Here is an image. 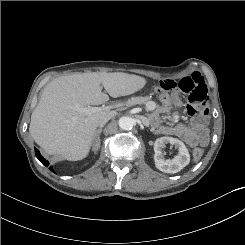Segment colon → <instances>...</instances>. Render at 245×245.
<instances>
[{
    "mask_svg": "<svg viewBox=\"0 0 245 245\" xmlns=\"http://www.w3.org/2000/svg\"><path fill=\"white\" fill-rule=\"evenodd\" d=\"M156 93L163 104L167 105L170 102V92H166L165 90L157 86ZM192 154L193 159L195 161H199L203 157L204 150L202 148L197 147L193 150Z\"/></svg>",
    "mask_w": 245,
    "mask_h": 245,
    "instance_id": "colon-1",
    "label": "colon"
}]
</instances>
